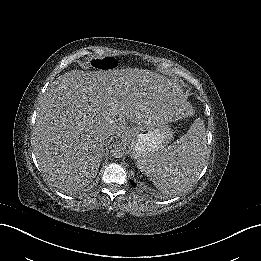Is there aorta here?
Instances as JSON below:
<instances>
[{
    "mask_svg": "<svg viewBox=\"0 0 261 261\" xmlns=\"http://www.w3.org/2000/svg\"><path fill=\"white\" fill-rule=\"evenodd\" d=\"M124 153V147L121 144L115 145L112 150V156H114L115 158H121Z\"/></svg>",
    "mask_w": 261,
    "mask_h": 261,
    "instance_id": "762f6f07",
    "label": "aorta"
}]
</instances>
